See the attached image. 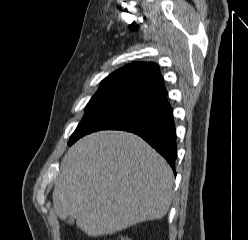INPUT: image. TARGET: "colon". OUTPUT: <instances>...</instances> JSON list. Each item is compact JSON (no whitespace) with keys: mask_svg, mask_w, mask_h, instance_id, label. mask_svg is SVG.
I'll return each mask as SVG.
<instances>
[{"mask_svg":"<svg viewBox=\"0 0 248 240\" xmlns=\"http://www.w3.org/2000/svg\"><path fill=\"white\" fill-rule=\"evenodd\" d=\"M115 240H132V239L130 237H128V236H120Z\"/></svg>","mask_w":248,"mask_h":240,"instance_id":"5ec220e1","label":"colon"}]
</instances>
